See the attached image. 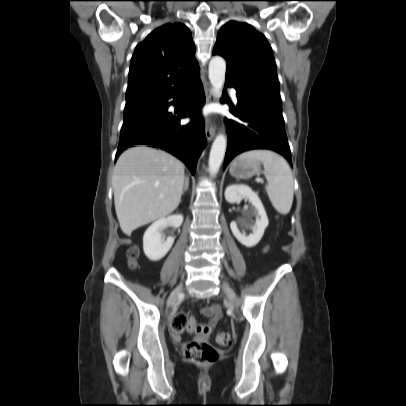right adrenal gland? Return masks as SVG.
Wrapping results in <instances>:
<instances>
[{"mask_svg": "<svg viewBox=\"0 0 406 406\" xmlns=\"http://www.w3.org/2000/svg\"><path fill=\"white\" fill-rule=\"evenodd\" d=\"M188 188H189V177L186 176V177H185L184 188H183V190H182L181 195H183V194L188 190Z\"/></svg>", "mask_w": 406, "mask_h": 406, "instance_id": "right-adrenal-gland-1", "label": "right adrenal gland"}]
</instances>
